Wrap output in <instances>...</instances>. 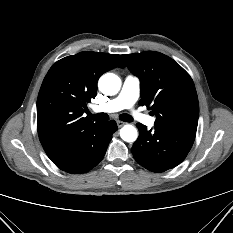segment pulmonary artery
<instances>
[{
  "label": "pulmonary artery",
  "mask_w": 233,
  "mask_h": 233,
  "mask_svg": "<svg viewBox=\"0 0 233 233\" xmlns=\"http://www.w3.org/2000/svg\"><path fill=\"white\" fill-rule=\"evenodd\" d=\"M140 91V79L138 77L128 75L123 82L120 93L117 97L108 102L94 107L96 112L114 113L123 109H129L131 117L149 127L154 126L155 118L134 110L133 106L136 103Z\"/></svg>",
  "instance_id": "e3ab8cb5"
}]
</instances>
